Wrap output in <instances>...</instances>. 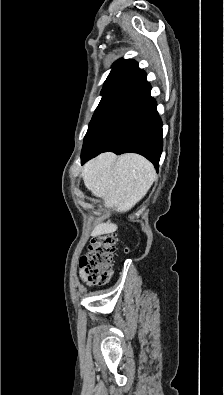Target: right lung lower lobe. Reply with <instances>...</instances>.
Listing matches in <instances>:
<instances>
[{
	"label": "right lung lower lobe",
	"instance_id": "98d812e1",
	"mask_svg": "<svg viewBox=\"0 0 224 395\" xmlns=\"http://www.w3.org/2000/svg\"><path fill=\"white\" fill-rule=\"evenodd\" d=\"M150 84L137 62L129 60L101 100L84 138L82 164L101 152L138 153L156 169L162 153V121Z\"/></svg>",
	"mask_w": 224,
	"mask_h": 395
}]
</instances>
